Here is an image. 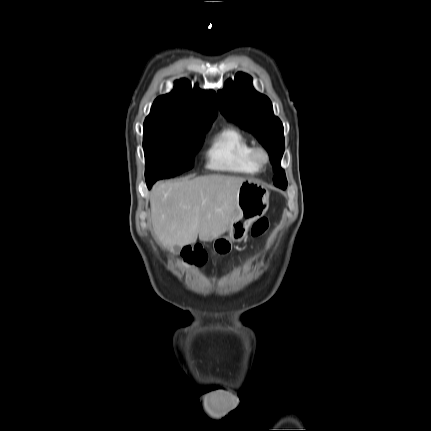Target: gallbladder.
Instances as JSON below:
<instances>
[{
    "label": "gallbladder",
    "mask_w": 431,
    "mask_h": 431,
    "mask_svg": "<svg viewBox=\"0 0 431 431\" xmlns=\"http://www.w3.org/2000/svg\"><path fill=\"white\" fill-rule=\"evenodd\" d=\"M174 250H175V251H178V250H179V247H178V246H174Z\"/></svg>",
    "instance_id": "gallbladder-1"
}]
</instances>
